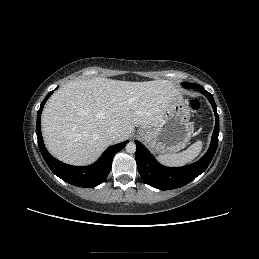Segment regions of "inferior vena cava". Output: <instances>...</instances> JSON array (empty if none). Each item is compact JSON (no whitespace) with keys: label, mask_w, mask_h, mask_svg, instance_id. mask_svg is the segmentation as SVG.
I'll return each instance as SVG.
<instances>
[{"label":"inferior vena cava","mask_w":259,"mask_h":259,"mask_svg":"<svg viewBox=\"0 0 259 259\" xmlns=\"http://www.w3.org/2000/svg\"><path fill=\"white\" fill-rule=\"evenodd\" d=\"M120 136V130L117 127H110L106 131V137L111 140L115 141Z\"/></svg>","instance_id":"obj_1"}]
</instances>
